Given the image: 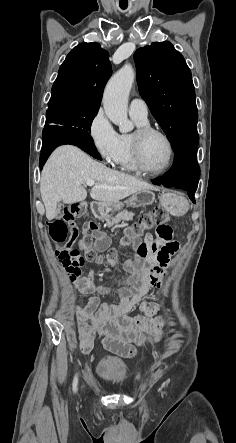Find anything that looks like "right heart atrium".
I'll list each match as a JSON object with an SVG mask.
<instances>
[{
    "mask_svg": "<svg viewBox=\"0 0 236 443\" xmlns=\"http://www.w3.org/2000/svg\"><path fill=\"white\" fill-rule=\"evenodd\" d=\"M87 133L99 156L107 164H117L122 153L120 135L112 126L103 109H98L93 115L88 124Z\"/></svg>",
    "mask_w": 236,
    "mask_h": 443,
    "instance_id": "1",
    "label": "right heart atrium"
}]
</instances>
